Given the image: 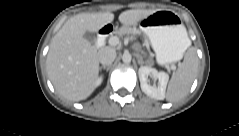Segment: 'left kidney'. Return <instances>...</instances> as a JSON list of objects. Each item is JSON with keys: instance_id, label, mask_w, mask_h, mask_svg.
I'll list each match as a JSON object with an SVG mask.
<instances>
[{"instance_id": "5707ae66", "label": "left kidney", "mask_w": 239, "mask_h": 136, "mask_svg": "<svg viewBox=\"0 0 239 136\" xmlns=\"http://www.w3.org/2000/svg\"><path fill=\"white\" fill-rule=\"evenodd\" d=\"M140 86L142 91L149 97L163 100L165 98L166 86L169 76L165 72H158L155 68L141 66L138 71ZM151 75L154 79H158V86H151L148 83V76Z\"/></svg>"}]
</instances>
